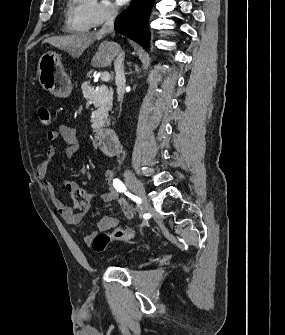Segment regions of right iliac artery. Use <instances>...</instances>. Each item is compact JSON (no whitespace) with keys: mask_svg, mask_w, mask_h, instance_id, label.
Listing matches in <instances>:
<instances>
[{"mask_svg":"<svg viewBox=\"0 0 285 335\" xmlns=\"http://www.w3.org/2000/svg\"><path fill=\"white\" fill-rule=\"evenodd\" d=\"M113 186L118 192H123V193H125V195L130 197L132 200H134V201L136 200V196L129 193L127 191L125 185L119 179H114L113 180Z\"/></svg>","mask_w":285,"mask_h":335,"instance_id":"82829eb1","label":"right iliac artery"}]
</instances>
